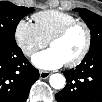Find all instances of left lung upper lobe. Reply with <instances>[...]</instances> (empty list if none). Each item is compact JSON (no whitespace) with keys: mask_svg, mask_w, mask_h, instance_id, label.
Wrapping results in <instances>:
<instances>
[{"mask_svg":"<svg viewBox=\"0 0 102 102\" xmlns=\"http://www.w3.org/2000/svg\"><path fill=\"white\" fill-rule=\"evenodd\" d=\"M74 10L79 12L81 18L90 28L91 44L89 52L97 48H102V17L87 9L76 8Z\"/></svg>","mask_w":102,"mask_h":102,"instance_id":"5c2ea615","label":"left lung upper lobe"}]
</instances>
